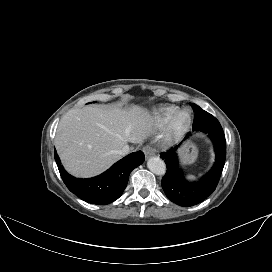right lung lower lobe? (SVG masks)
Masks as SVG:
<instances>
[{"label": "right lung lower lobe", "instance_id": "obj_1", "mask_svg": "<svg viewBox=\"0 0 272 272\" xmlns=\"http://www.w3.org/2000/svg\"><path fill=\"white\" fill-rule=\"evenodd\" d=\"M54 157L67 188L82 200L98 205H106L118 199L127 186L131 171L145 160L142 151L134 152L116 162L99 176L79 179L65 171L56 151Z\"/></svg>", "mask_w": 272, "mask_h": 272}]
</instances>
